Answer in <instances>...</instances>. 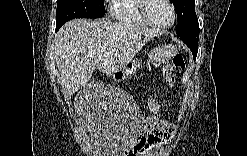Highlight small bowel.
<instances>
[{
  "instance_id": "c3829d8e",
  "label": "small bowel",
  "mask_w": 247,
  "mask_h": 156,
  "mask_svg": "<svg viewBox=\"0 0 247 156\" xmlns=\"http://www.w3.org/2000/svg\"><path fill=\"white\" fill-rule=\"evenodd\" d=\"M149 109L151 111V116L160 110V106L154 100L149 101ZM160 130L152 137H148L142 134V137L138 140L139 146L137 149L133 150L131 154L133 155H146L152 152H159L166 145V143L172 139L176 132V126L165 120L163 117ZM149 121V118H148Z\"/></svg>"
}]
</instances>
